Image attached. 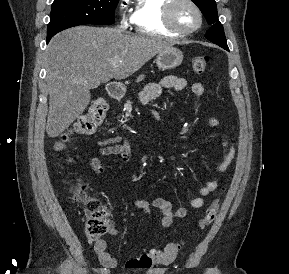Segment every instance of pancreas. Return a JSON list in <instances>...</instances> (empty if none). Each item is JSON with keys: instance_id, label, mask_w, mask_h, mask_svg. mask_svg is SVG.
Wrapping results in <instances>:
<instances>
[{"instance_id": "cf45deb5", "label": "pancreas", "mask_w": 289, "mask_h": 274, "mask_svg": "<svg viewBox=\"0 0 289 274\" xmlns=\"http://www.w3.org/2000/svg\"><path fill=\"white\" fill-rule=\"evenodd\" d=\"M124 107H125L126 110H127L126 116H129V115H130V112H131V110H132L131 102H130V101H127V102L125 103Z\"/></svg>"}]
</instances>
